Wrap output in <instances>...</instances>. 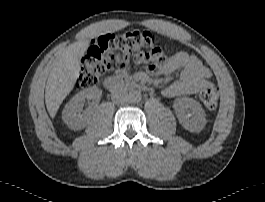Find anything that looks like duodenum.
Here are the masks:
<instances>
[{
  "label": "duodenum",
  "instance_id": "410a0bca",
  "mask_svg": "<svg viewBox=\"0 0 265 202\" xmlns=\"http://www.w3.org/2000/svg\"><path fill=\"white\" fill-rule=\"evenodd\" d=\"M104 86L105 88L115 93L122 88H128L131 90H142V91H149V86L142 84L135 79L126 76V75H116V76H109L104 79Z\"/></svg>",
  "mask_w": 265,
  "mask_h": 202
}]
</instances>
